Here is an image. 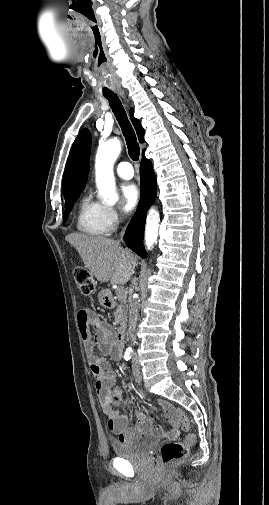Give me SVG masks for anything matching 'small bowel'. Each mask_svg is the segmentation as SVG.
<instances>
[{"label": "small bowel", "mask_w": 269, "mask_h": 505, "mask_svg": "<svg viewBox=\"0 0 269 505\" xmlns=\"http://www.w3.org/2000/svg\"><path fill=\"white\" fill-rule=\"evenodd\" d=\"M78 325L80 334L85 343V351L90 363V371L95 379V389L100 400L102 410L107 416V426L109 430L118 435V439L124 443H133L142 436L155 434L158 436L174 437L179 433L180 423L175 419L177 410L168 402L161 401L160 404L166 410V417L171 423V428L165 430L161 426H153L152 420L140 409L136 408L137 423L129 426L126 415L114 410L109 403L108 394L115 382L116 375L110 369L107 356L114 360H119L122 348L115 340V333L112 327L101 321L98 315L90 310H80L78 312ZM96 328L93 332L92 329ZM95 347H98L102 355L95 354Z\"/></svg>", "instance_id": "obj_1"}]
</instances>
